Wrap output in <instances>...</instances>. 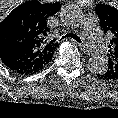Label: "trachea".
I'll return each mask as SVG.
<instances>
[{
	"label": "trachea",
	"instance_id": "3493384b",
	"mask_svg": "<svg viewBox=\"0 0 118 118\" xmlns=\"http://www.w3.org/2000/svg\"><path fill=\"white\" fill-rule=\"evenodd\" d=\"M65 38H72L76 40L77 42H81L80 37H78L76 34H73V33H67L66 35L62 36L60 40L65 39Z\"/></svg>",
	"mask_w": 118,
	"mask_h": 118
}]
</instances>
